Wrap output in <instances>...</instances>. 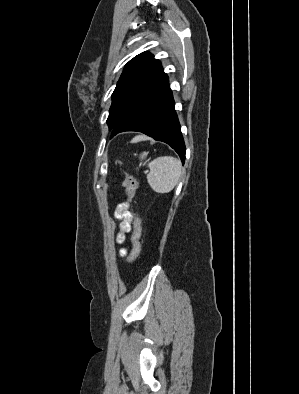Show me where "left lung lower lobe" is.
Returning <instances> with one entry per match:
<instances>
[{
	"label": "left lung lower lobe",
	"instance_id": "1",
	"mask_svg": "<svg viewBox=\"0 0 299 394\" xmlns=\"http://www.w3.org/2000/svg\"><path fill=\"white\" fill-rule=\"evenodd\" d=\"M174 99L164 73L132 104L112 129L111 138L124 131L142 132L170 145L185 161V144L174 109Z\"/></svg>",
	"mask_w": 299,
	"mask_h": 394
}]
</instances>
